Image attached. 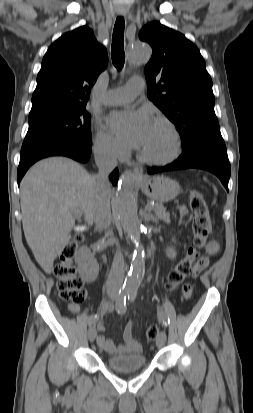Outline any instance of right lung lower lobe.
<instances>
[{"label":"right lung lower lobe","mask_w":253,"mask_h":413,"mask_svg":"<svg viewBox=\"0 0 253 413\" xmlns=\"http://www.w3.org/2000/svg\"><path fill=\"white\" fill-rule=\"evenodd\" d=\"M90 155L91 145L83 144H58L21 153L17 176L18 185L28 168L42 158L50 156H67L76 161L85 163L89 160ZM118 177V169H115L110 175V180L113 185H116Z\"/></svg>","instance_id":"obj_1"}]
</instances>
